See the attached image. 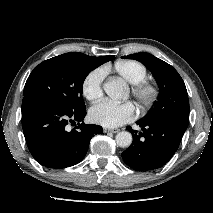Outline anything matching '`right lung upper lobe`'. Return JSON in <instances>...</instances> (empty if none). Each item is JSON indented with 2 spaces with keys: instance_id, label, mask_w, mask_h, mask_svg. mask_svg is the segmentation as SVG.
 I'll use <instances>...</instances> for the list:
<instances>
[{
  "instance_id": "1",
  "label": "right lung upper lobe",
  "mask_w": 213,
  "mask_h": 213,
  "mask_svg": "<svg viewBox=\"0 0 213 213\" xmlns=\"http://www.w3.org/2000/svg\"><path fill=\"white\" fill-rule=\"evenodd\" d=\"M79 54H81L84 58L92 61L96 66H98V65H100V64H102L104 62L113 60L115 58L114 56H100V57H95V56H88V55H85L83 53H79Z\"/></svg>"
}]
</instances>
